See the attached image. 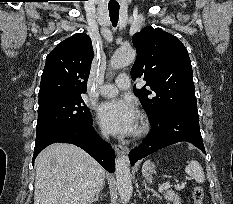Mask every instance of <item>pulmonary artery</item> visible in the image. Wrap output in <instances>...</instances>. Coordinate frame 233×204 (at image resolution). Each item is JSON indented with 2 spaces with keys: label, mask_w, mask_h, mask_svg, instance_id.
<instances>
[{
  "label": "pulmonary artery",
  "mask_w": 233,
  "mask_h": 204,
  "mask_svg": "<svg viewBox=\"0 0 233 204\" xmlns=\"http://www.w3.org/2000/svg\"><path fill=\"white\" fill-rule=\"evenodd\" d=\"M130 87V78L126 74H121L117 77L114 84H104L101 89V95L105 97L115 96L119 90H126Z\"/></svg>",
  "instance_id": "pulmonary-artery-1"
}]
</instances>
